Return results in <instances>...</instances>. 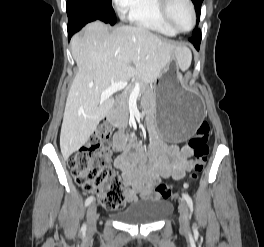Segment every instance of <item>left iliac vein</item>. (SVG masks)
<instances>
[{
    "label": "left iliac vein",
    "instance_id": "4c4485c4",
    "mask_svg": "<svg viewBox=\"0 0 264 247\" xmlns=\"http://www.w3.org/2000/svg\"><path fill=\"white\" fill-rule=\"evenodd\" d=\"M179 222L182 229H187L189 226V211L186 202L181 199L179 201Z\"/></svg>",
    "mask_w": 264,
    "mask_h": 247
}]
</instances>
